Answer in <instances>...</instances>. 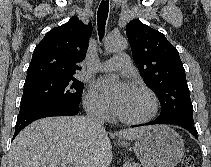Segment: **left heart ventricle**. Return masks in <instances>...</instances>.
<instances>
[{
	"label": "left heart ventricle",
	"instance_id": "1",
	"mask_svg": "<svg viewBox=\"0 0 211 167\" xmlns=\"http://www.w3.org/2000/svg\"><path fill=\"white\" fill-rule=\"evenodd\" d=\"M150 111V101L148 97L135 90H131L119 115L126 118H142Z\"/></svg>",
	"mask_w": 211,
	"mask_h": 167
}]
</instances>
